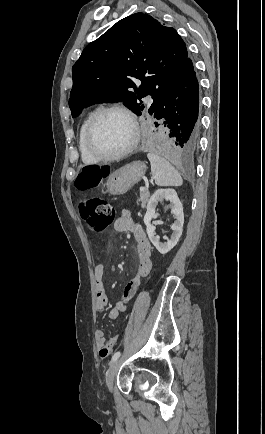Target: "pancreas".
Returning a JSON list of instances; mask_svg holds the SVG:
<instances>
[{
	"instance_id": "1",
	"label": "pancreas",
	"mask_w": 265,
	"mask_h": 434,
	"mask_svg": "<svg viewBox=\"0 0 265 434\" xmlns=\"http://www.w3.org/2000/svg\"><path fill=\"white\" fill-rule=\"evenodd\" d=\"M149 198H150V194H149L148 190H144V192H140V198H139V200H137V204H139V202H141V204H140L141 208H145Z\"/></svg>"
}]
</instances>
